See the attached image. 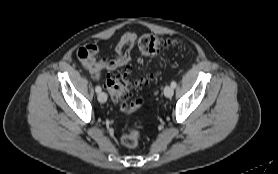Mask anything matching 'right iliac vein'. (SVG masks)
I'll return each instance as SVG.
<instances>
[{"instance_id":"right-iliac-vein-1","label":"right iliac vein","mask_w":278,"mask_h":174,"mask_svg":"<svg viewBox=\"0 0 278 174\" xmlns=\"http://www.w3.org/2000/svg\"><path fill=\"white\" fill-rule=\"evenodd\" d=\"M98 100H99V102H101V103H105V102L107 101V95H106V93L100 92V93L98 94Z\"/></svg>"}]
</instances>
